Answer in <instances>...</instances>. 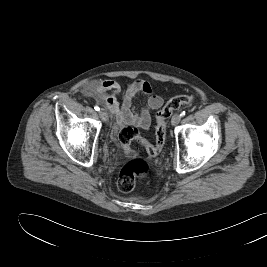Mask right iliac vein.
<instances>
[{
    "mask_svg": "<svg viewBox=\"0 0 267 267\" xmlns=\"http://www.w3.org/2000/svg\"><path fill=\"white\" fill-rule=\"evenodd\" d=\"M99 116L103 121H107L108 120V113L104 109H101L99 111Z\"/></svg>",
    "mask_w": 267,
    "mask_h": 267,
    "instance_id": "obj_1",
    "label": "right iliac vein"
}]
</instances>
